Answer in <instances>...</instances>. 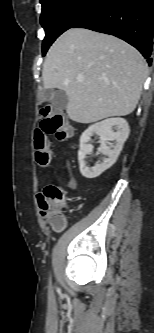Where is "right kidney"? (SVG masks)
I'll list each match as a JSON object with an SVG mask.
<instances>
[{
  "label": "right kidney",
  "mask_w": 154,
  "mask_h": 333,
  "mask_svg": "<svg viewBox=\"0 0 154 333\" xmlns=\"http://www.w3.org/2000/svg\"><path fill=\"white\" fill-rule=\"evenodd\" d=\"M129 133V125L123 118L105 119L88 127L80 137V148L78 151L79 169L82 176L93 179L109 169L116 162ZM93 134H97L100 137L101 153L105 157L102 162L95 164L93 167H88L85 158L86 155L92 153L93 145L89 141ZM108 141H115V144L108 146Z\"/></svg>",
  "instance_id": "1"
}]
</instances>
